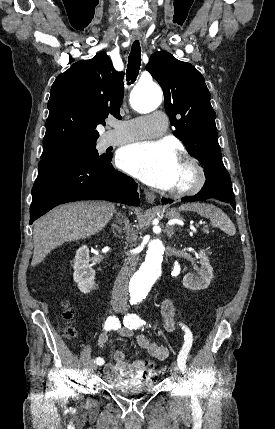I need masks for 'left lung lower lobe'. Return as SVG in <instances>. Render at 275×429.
I'll return each mask as SVG.
<instances>
[{"label":"left lung lower lobe","instance_id":"left-lung-lower-lobe-1","mask_svg":"<svg viewBox=\"0 0 275 429\" xmlns=\"http://www.w3.org/2000/svg\"><path fill=\"white\" fill-rule=\"evenodd\" d=\"M232 183L230 179L223 177L207 178L201 191L193 197L182 199L183 202L199 201L215 198L230 203L233 209L236 207ZM170 199L162 198V204L172 203Z\"/></svg>","mask_w":275,"mask_h":429}]
</instances>
